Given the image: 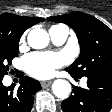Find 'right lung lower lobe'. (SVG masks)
<instances>
[{
    "mask_svg": "<svg viewBox=\"0 0 112 112\" xmlns=\"http://www.w3.org/2000/svg\"><path fill=\"white\" fill-rule=\"evenodd\" d=\"M0 78V112H30L34 95L41 90L40 83L30 77L20 80V87L14 91L12 86L5 87Z\"/></svg>",
    "mask_w": 112,
    "mask_h": 112,
    "instance_id": "1",
    "label": "right lung lower lobe"
}]
</instances>
